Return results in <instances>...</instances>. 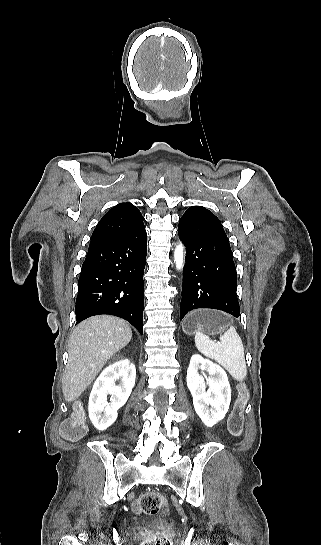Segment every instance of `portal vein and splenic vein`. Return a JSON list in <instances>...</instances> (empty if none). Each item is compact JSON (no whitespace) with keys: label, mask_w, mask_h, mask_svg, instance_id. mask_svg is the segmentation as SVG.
<instances>
[{"label":"portal vein and splenic vein","mask_w":321,"mask_h":545,"mask_svg":"<svg viewBox=\"0 0 321 545\" xmlns=\"http://www.w3.org/2000/svg\"><path fill=\"white\" fill-rule=\"evenodd\" d=\"M218 344H221V341H218Z\"/></svg>","instance_id":"18ae733b"}]
</instances>
